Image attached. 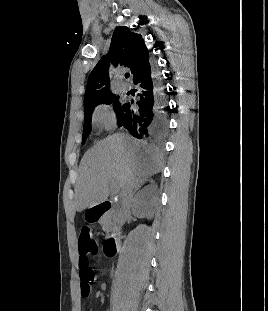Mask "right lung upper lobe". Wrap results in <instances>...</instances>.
Masks as SVG:
<instances>
[{
	"mask_svg": "<svg viewBox=\"0 0 268 311\" xmlns=\"http://www.w3.org/2000/svg\"><path fill=\"white\" fill-rule=\"evenodd\" d=\"M110 63L115 67L124 65L131 68L134 79L150 63L149 52L142 36L131 32L125 26L115 29L109 53L101 58L89 75L84 98V112L113 95L108 72Z\"/></svg>",
	"mask_w": 268,
	"mask_h": 311,
	"instance_id": "obj_1",
	"label": "right lung upper lobe"
}]
</instances>
